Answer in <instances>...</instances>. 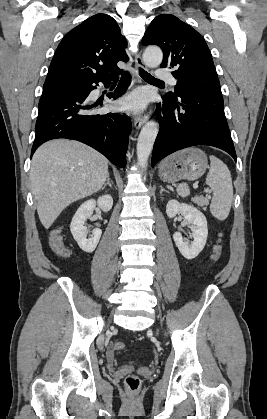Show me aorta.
<instances>
[{
    "instance_id": "aorta-1",
    "label": "aorta",
    "mask_w": 267,
    "mask_h": 419,
    "mask_svg": "<svg viewBox=\"0 0 267 419\" xmlns=\"http://www.w3.org/2000/svg\"><path fill=\"white\" fill-rule=\"evenodd\" d=\"M163 54L158 47H148L143 54V61L148 67H157L161 64ZM158 134L156 122L149 121L141 129L137 142L138 166L145 171L147 169L148 158L151 154L154 141Z\"/></svg>"
}]
</instances>
